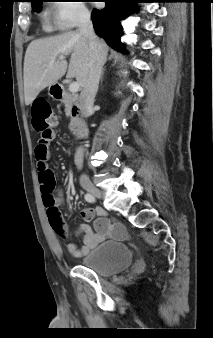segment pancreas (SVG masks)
I'll use <instances>...</instances> for the list:
<instances>
[{
	"instance_id": "1",
	"label": "pancreas",
	"mask_w": 213,
	"mask_h": 338,
	"mask_svg": "<svg viewBox=\"0 0 213 338\" xmlns=\"http://www.w3.org/2000/svg\"><path fill=\"white\" fill-rule=\"evenodd\" d=\"M65 104V110H66V116H70L71 117V123H70V129L74 128L75 125V118L72 117L71 115V109H72V105L70 103V101L67 99L64 101Z\"/></svg>"
}]
</instances>
